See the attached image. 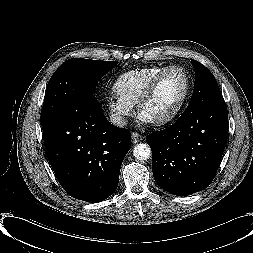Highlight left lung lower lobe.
<instances>
[{
  "mask_svg": "<svg viewBox=\"0 0 253 253\" xmlns=\"http://www.w3.org/2000/svg\"><path fill=\"white\" fill-rule=\"evenodd\" d=\"M224 99L188 109L168 128L150 134L153 176L160 188L178 196L210 185L227 141Z\"/></svg>",
  "mask_w": 253,
  "mask_h": 253,
  "instance_id": "left-lung-lower-lobe-1",
  "label": "left lung lower lobe"
}]
</instances>
